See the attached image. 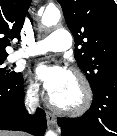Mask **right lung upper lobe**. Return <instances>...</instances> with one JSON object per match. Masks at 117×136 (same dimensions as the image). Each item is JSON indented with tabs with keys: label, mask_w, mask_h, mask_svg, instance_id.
I'll list each match as a JSON object with an SVG mask.
<instances>
[{
	"label": "right lung upper lobe",
	"mask_w": 117,
	"mask_h": 136,
	"mask_svg": "<svg viewBox=\"0 0 117 136\" xmlns=\"http://www.w3.org/2000/svg\"><path fill=\"white\" fill-rule=\"evenodd\" d=\"M31 0H0V58L7 57L5 48L20 31Z\"/></svg>",
	"instance_id": "right-lung-upper-lobe-1"
}]
</instances>
